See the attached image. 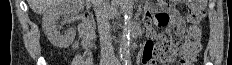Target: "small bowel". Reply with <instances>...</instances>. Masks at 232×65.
Returning a JSON list of instances; mask_svg holds the SVG:
<instances>
[{"label": "small bowel", "mask_w": 232, "mask_h": 65, "mask_svg": "<svg viewBox=\"0 0 232 65\" xmlns=\"http://www.w3.org/2000/svg\"><path fill=\"white\" fill-rule=\"evenodd\" d=\"M152 22L159 29H165L163 36L169 37L170 31H173L178 37H182L185 33V26L182 18L175 11L168 13H157L153 6H148L145 11L144 24L147 31V41L142 48V62L144 65H155L156 46L154 40L157 35L152 27ZM159 65H172V62H160Z\"/></svg>", "instance_id": "1"}]
</instances>
